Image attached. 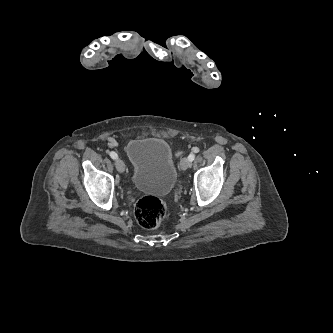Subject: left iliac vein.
Segmentation results:
<instances>
[{"instance_id":"left-iliac-vein-1","label":"left iliac vein","mask_w":333,"mask_h":333,"mask_svg":"<svg viewBox=\"0 0 333 333\" xmlns=\"http://www.w3.org/2000/svg\"><path fill=\"white\" fill-rule=\"evenodd\" d=\"M180 166L182 170H186L191 167V161L185 157L181 160Z\"/></svg>"}]
</instances>
